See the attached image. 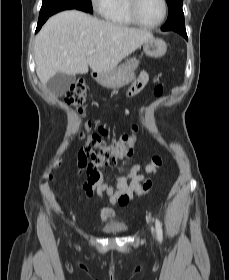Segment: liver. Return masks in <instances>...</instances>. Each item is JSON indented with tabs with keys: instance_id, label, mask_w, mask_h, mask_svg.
<instances>
[{
	"instance_id": "6515ba94",
	"label": "liver",
	"mask_w": 229,
	"mask_h": 280,
	"mask_svg": "<svg viewBox=\"0 0 229 280\" xmlns=\"http://www.w3.org/2000/svg\"><path fill=\"white\" fill-rule=\"evenodd\" d=\"M151 32L103 21L77 10L52 16L35 40L36 73L43 86L57 73L111 71L145 41ZM95 50L92 55L87 51Z\"/></svg>"
}]
</instances>
